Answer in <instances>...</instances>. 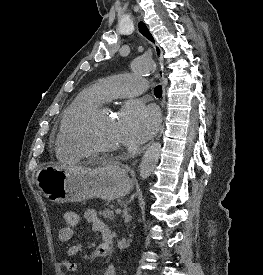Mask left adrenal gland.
<instances>
[{
    "label": "left adrenal gland",
    "instance_id": "1",
    "mask_svg": "<svg viewBox=\"0 0 263 275\" xmlns=\"http://www.w3.org/2000/svg\"><path fill=\"white\" fill-rule=\"evenodd\" d=\"M123 218H124V223H128L131 221L132 216L128 214V209L127 207H125L124 211H123Z\"/></svg>",
    "mask_w": 263,
    "mask_h": 275
}]
</instances>
